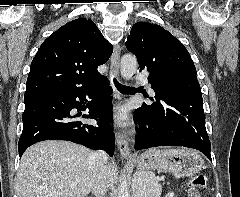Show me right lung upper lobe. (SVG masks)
I'll return each mask as SVG.
<instances>
[{"label": "right lung upper lobe", "mask_w": 240, "mask_h": 197, "mask_svg": "<svg viewBox=\"0 0 240 197\" xmlns=\"http://www.w3.org/2000/svg\"><path fill=\"white\" fill-rule=\"evenodd\" d=\"M113 52L91 19H75L40 46L27 79L24 98L57 89H84L105 77L97 71Z\"/></svg>", "instance_id": "right-lung-upper-lobe-1"}]
</instances>
